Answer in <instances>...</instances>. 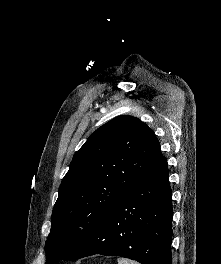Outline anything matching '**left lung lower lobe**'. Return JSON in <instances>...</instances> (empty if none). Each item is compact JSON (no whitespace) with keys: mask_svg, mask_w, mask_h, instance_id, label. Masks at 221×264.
Returning <instances> with one entry per match:
<instances>
[{"mask_svg":"<svg viewBox=\"0 0 221 264\" xmlns=\"http://www.w3.org/2000/svg\"><path fill=\"white\" fill-rule=\"evenodd\" d=\"M171 197L167 160L163 156L64 259L101 254L142 264H172Z\"/></svg>","mask_w":221,"mask_h":264,"instance_id":"1","label":"left lung lower lobe"}]
</instances>
